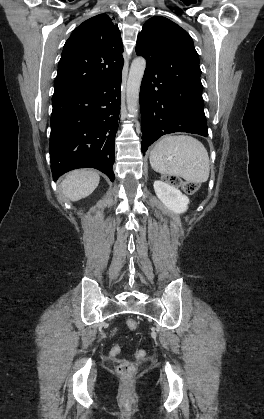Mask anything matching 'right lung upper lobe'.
I'll return each instance as SVG.
<instances>
[{
	"instance_id": "obj_1",
	"label": "right lung upper lobe",
	"mask_w": 264,
	"mask_h": 419,
	"mask_svg": "<svg viewBox=\"0 0 264 419\" xmlns=\"http://www.w3.org/2000/svg\"><path fill=\"white\" fill-rule=\"evenodd\" d=\"M118 25L106 14L78 26L66 41L54 83V95L95 87L115 77L123 67Z\"/></svg>"
}]
</instances>
